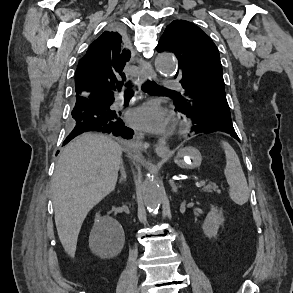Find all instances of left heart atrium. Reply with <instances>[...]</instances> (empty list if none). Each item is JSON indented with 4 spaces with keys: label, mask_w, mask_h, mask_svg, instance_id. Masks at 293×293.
Returning <instances> with one entry per match:
<instances>
[{
    "label": "left heart atrium",
    "mask_w": 293,
    "mask_h": 293,
    "mask_svg": "<svg viewBox=\"0 0 293 293\" xmlns=\"http://www.w3.org/2000/svg\"><path fill=\"white\" fill-rule=\"evenodd\" d=\"M128 122L139 129L162 131L168 123L166 112L156 103H146L128 114Z\"/></svg>",
    "instance_id": "left-heart-atrium-1"
}]
</instances>
